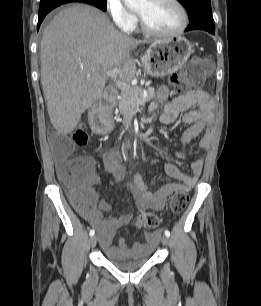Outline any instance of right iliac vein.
Wrapping results in <instances>:
<instances>
[{
	"mask_svg": "<svg viewBox=\"0 0 261 306\" xmlns=\"http://www.w3.org/2000/svg\"><path fill=\"white\" fill-rule=\"evenodd\" d=\"M96 243H97V236L96 235H93L91 238H90V245L91 247H95L96 246Z\"/></svg>",
	"mask_w": 261,
	"mask_h": 306,
	"instance_id": "1",
	"label": "right iliac vein"
}]
</instances>
